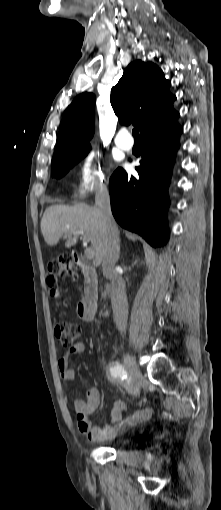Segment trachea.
I'll return each mask as SVG.
<instances>
[{"instance_id": "obj_1", "label": "trachea", "mask_w": 221, "mask_h": 510, "mask_svg": "<svg viewBox=\"0 0 221 510\" xmlns=\"http://www.w3.org/2000/svg\"><path fill=\"white\" fill-rule=\"evenodd\" d=\"M132 134H133V136H134L135 140L140 139V136H139V126H137V127H135V128L133 129Z\"/></svg>"}]
</instances>
